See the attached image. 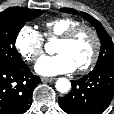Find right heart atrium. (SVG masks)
<instances>
[{
    "label": "right heart atrium",
    "instance_id": "1",
    "mask_svg": "<svg viewBox=\"0 0 114 114\" xmlns=\"http://www.w3.org/2000/svg\"><path fill=\"white\" fill-rule=\"evenodd\" d=\"M15 48L27 62H34L44 53V38L33 27L25 25L17 33Z\"/></svg>",
    "mask_w": 114,
    "mask_h": 114
}]
</instances>
